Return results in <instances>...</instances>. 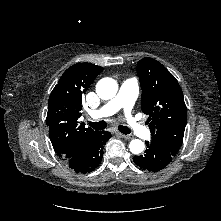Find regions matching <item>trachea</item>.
<instances>
[{
  "label": "trachea",
  "mask_w": 221,
  "mask_h": 221,
  "mask_svg": "<svg viewBox=\"0 0 221 221\" xmlns=\"http://www.w3.org/2000/svg\"><path fill=\"white\" fill-rule=\"evenodd\" d=\"M88 124L95 130H103L107 127V123L105 121L89 122ZM118 130L123 134L131 133V130L128 127L122 125L118 127Z\"/></svg>",
  "instance_id": "obj_1"
}]
</instances>
